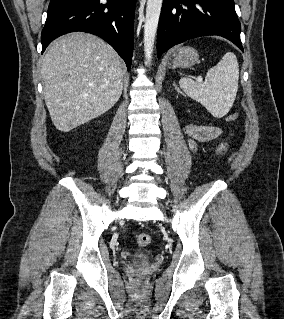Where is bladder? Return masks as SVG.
Returning <instances> with one entry per match:
<instances>
[{
	"instance_id": "obj_1",
	"label": "bladder",
	"mask_w": 284,
	"mask_h": 319,
	"mask_svg": "<svg viewBox=\"0 0 284 319\" xmlns=\"http://www.w3.org/2000/svg\"><path fill=\"white\" fill-rule=\"evenodd\" d=\"M150 260L149 256L147 254H140L135 258V262L138 264H146Z\"/></svg>"
}]
</instances>
